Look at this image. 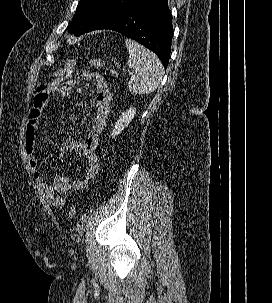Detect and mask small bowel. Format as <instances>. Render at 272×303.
Listing matches in <instances>:
<instances>
[{"mask_svg":"<svg viewBox=\"0 0 272 303\" xmlns=\"http://www.w3.org/2000/svg\"><path fill=\"white\" fill-rule=\"evenodd\" d=\"M80 81H91L96 88L94 101V117L91 131L85 139H68L56 151V157L64 159L68 151H73L86 160L87 166L81 179L74 180L64 174H55L52 181L47 183L38 164L36 153L37 129L41 114L47 105L52 92L49 85L36 89L32 106L29 110L25 130V149L28 155L29 167L33 178L44 194L46 201L55 209H62L66 204L67 195L75 190H83L89 186L100 170L97 147L100 135L110 114L111 92L106 80L99 74L81 71L75 79L64 81L57 93L68 97Z\"/></svg>","mask_w":272,"mask_h":303,"instance_id":"small-bowel-1","label":"small bowel"}]
</instances>
